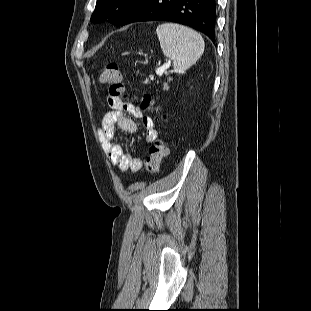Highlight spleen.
<instances>
[{
    "mask_svg": "<svg viewBox=\"0 0 311 311\" xmlns=\"http://www.w3.org/2000/svg\"><path fill=\"white\" fill-rule=\"evenodd\" d=\"M164 55L173 61L176 73L182 74L201 57L204 52L202 36L183 25L163 23L156 29Z\"/></svg>",
    "mask_w": 311,
    "mask_h": 311,
    "instance_id": "obj_1",
    "label": "spleen"
}]
</instances>
